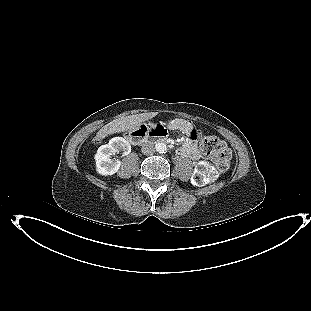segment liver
Masks as SVG:
<instances>
[{
    "mask_svg": "<svg viewBox=\"0 0 311 311\" xmlns=\"http://www.w3.org/2000/svg\"><path fill=\"white\" fill-rule=\"evenodd\" d=\"M156 113H142L136 115H130L121 117L111 121L110 123L103 126L96 134V140H101L108 135L114 133H121L136 129L143 122L154 117Z\"/></svg>",
    "mask_w": 311,
    "mask_h": 311,
    "instance_id": "6515ba94",
    "label": "liver"
}]
</instances>
